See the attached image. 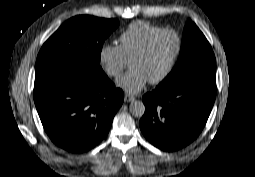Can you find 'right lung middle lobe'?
<instances>
[{"instance_id": "1", "label": "right lung middle lobe", "mask_w": 255, "mask_h": 177, "mask_svg": "<svg viewBox=\"0 0 255 177\" xmlns=\"http://www.w3.org/2000/svg\"><path fill=\"white\" fill-rule=\"evenodd\" d=\"M118 25L117 19L88 15L69 19L42 46L35 72L51 68L102 72V44Z\"/></svg>"}]
</instances>
